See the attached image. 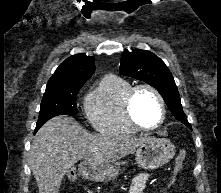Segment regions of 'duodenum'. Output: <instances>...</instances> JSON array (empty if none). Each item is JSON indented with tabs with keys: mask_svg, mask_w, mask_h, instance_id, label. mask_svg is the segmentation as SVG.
I'll use <instances>...</instances> for the list:
<instances>
[{
	"mask_svg": "<svg viewBox=\"0 0 221 193\" xmlns=\"http://www.w3.org/2000/svg\"><path fill=\"white\" fill-rule=\"evenodd\" d=\"M83 168H84V169H87V168H88V165H86V164L83 165Z\"/></svg>",
	"mask_w": 221,
	"mask_h": 193,
	"instance_id": "1",
	"label": "duodenum"
}]
</instances>
